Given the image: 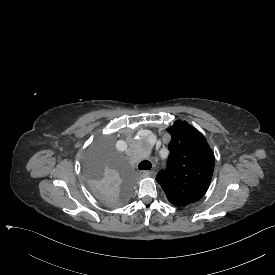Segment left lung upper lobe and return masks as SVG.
Here are the masks:
<instances>
[{"instance_id": "left-lung-upper-lobe-1", "label": "left lung upper lobe", "mask_w": 275, "mask_h": 275, "mask_svg": "<svg viewBox=\"0 0 275 275\" xmlns=\"http://www.w3.org/2000/svg\"><path fill=\"white\" fill-rule=\"evenodd\" d=\"M171 135L167 169L156 177L176 206L198 201L206 193L214 169V154L204 136L186 121H176Z\"/></svg>"}]
</instances>
